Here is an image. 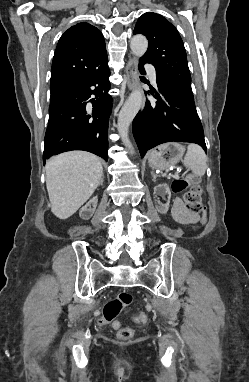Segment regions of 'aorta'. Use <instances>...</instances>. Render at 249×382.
Returning <instances> with one entry per match:
<instances>
[{"instance_id": "762f6f07", "label": "aorta", "mask_w": 249, "mask_h": 382, "mask_svg": "<svg viewBox=\"0 0 249 382\" xmlns=\"http://www.w3.org/2000/svg\"><path fill=\"white\" fill-rule=\"evenodd\" d=\"M130 47L134 55L141 57L145 54L148 48V41L143 35H135L130 41ZM143 100V91L140 89L134 90L127 101L121 108L118 115L117 130L118 133L125 144L132 153L133 147L128 137V130L130 124L132 123L134 117L138 113Z\"/></svg>"}]
</instances>
